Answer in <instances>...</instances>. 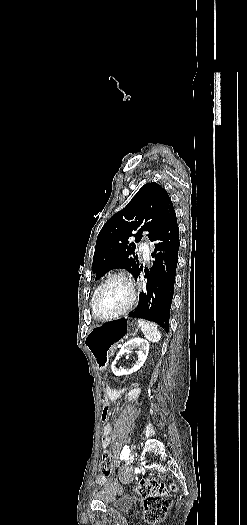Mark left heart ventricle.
<instances>
[{"label":"left heart ventricle","instance_id":"left-heart-ventricle-1","mask_svg":"<svg viewBox=\"0 0 247 525\" xmlns=\"http://www.w3.org/2000/svg\"><path fill=\"white\" fill-rule=\"evenodd\" d=\"M130 285L123 279L106 282L98 292L96 305L102 311H111L122 306L130 297Z\"/></svg>","mask_w":247,"mask_h":525}]
</instances>
